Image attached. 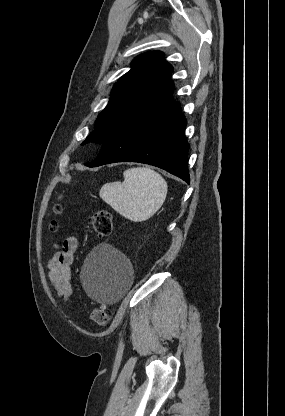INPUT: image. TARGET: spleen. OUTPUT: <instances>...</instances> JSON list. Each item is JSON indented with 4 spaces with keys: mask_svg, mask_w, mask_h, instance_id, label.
<instances>
[{
    "mask_svg": "<svg viewBox=\"0 0 285 416\" xmlns=\"http://www.w3.org/2000/svg\"><path fill=\"white\" fill-rule=\"evenodd\" d=\"M123 176L124 182L104 184L100 198L132 222L149 220L165 202L167 182L151 168H131Z\"/></svg>",
    "mask_w": 285,
    "mask_h": 416,
    "instance_id": "1",
    "label": "spleen"
}]
</instances>
